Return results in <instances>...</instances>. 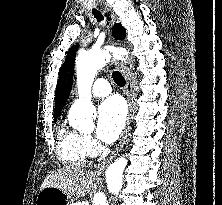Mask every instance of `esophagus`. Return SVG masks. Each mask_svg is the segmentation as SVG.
<instances>
[{"mask_svg":"<svg viewBox=\"0 0 222 205\" xmlns=\"http://www.w3.org/2000/svg\"><path fill=\"white\" fill-rule=\"evenodd\" d=\"M107 11H109V9H107ZM110 17H111V20L114 24L116 22L115 14L111 12ZM116 67L122 72V74L124 75L125 80H126V99H127L128 106H129V112H128L127 122H126L125 129L123 131L121 142L116 147L115 151H113V153L106 160H104L101 163V165L98 167V171L104 170L106 168V166H108V164L112 161V159L121 151V149L123 148L124 144L127 141V137H128V133L130 130V125H131V117H132V113H133V85H132V81H131L128 69L123 63L117 61Z\"/></svg>","mask_w":222,"mask_h":205,"instance_id":"34e87169","label":"esophagus"}]
</instances>
